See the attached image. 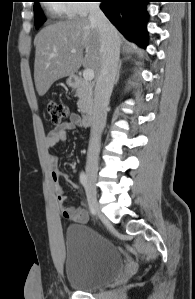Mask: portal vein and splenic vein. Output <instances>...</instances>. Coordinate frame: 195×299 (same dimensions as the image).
I'll return each mask as SVG.
<instances>
[{"label":"portal vein and splenic vein","mask_w":195,"mask_h":299,"mask_svg":"<svg viewBox=\"0 0 195 299\" xmlns=\"http://www.w3.org/2000/svg\"><path fill=\"white\" fill-rule=\"evenodd\" d=\"M71 53H76V50L75 49H72L71 50ZM83 78L84 80L86 81H91L94 79V71L93 69L91 68H86L84 71H83Z\"/></svg>","instance_id":"obj_1"}]
</instances>
